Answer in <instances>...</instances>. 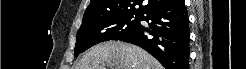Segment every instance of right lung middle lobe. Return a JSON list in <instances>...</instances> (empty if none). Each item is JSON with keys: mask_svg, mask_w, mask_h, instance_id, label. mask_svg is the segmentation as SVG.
Here are the masks:
<instances>
[{"mask_svg": "<svg viewBox=\"0 0 246 69\" xmlns=\"http://www.w3.org/2000/svg\"><path fill=\"white\" fill-rule=\"evenodd\" d=\"M141 18L142 14H121L98 20L82 21L77 33L74 56L100 42L118 40L127 32L137 28Z\"/></svg>", "mask_w": 246, "mask_h": 69, "instance_id": "dd1d6c3e", "label": "right lung middle lobe"}]
</instances>
